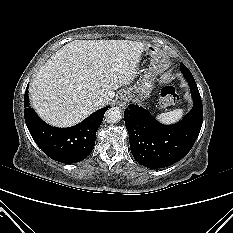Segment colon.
Returning a JSON list of instances; mask_svg holds the SVG:
<instances>
[{
  "label": "colon",
  "mask_w": 233,
  "mask_h": 233,
  "mask_svg": "<svg viewBox=\"0 0 233 233\" xmlns=\"http://www.w3.org/2000/svg\"><path fill=\"white\" fill-rule=\"evenodd\" d=\"M179 96L173 86H165L161 90V103L164 106L174 104L178 101Z\"/></svg>",
  "instance_id": "colon-1"
}]
</instances>
